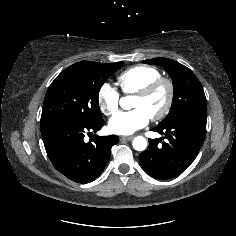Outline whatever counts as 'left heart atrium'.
<instances>
[{
	"label": "left heart atrium",
	"instance_id": "1",
	"mask_svg": "<svg viewBox=\"0 0 236 236\" xmlns=\"http://www.w3.org/2000/svg\"><path fill=\"white\" fill-rule=\"evenodd\" d=\"M150 116L141 108L119 112L109 121V129L119 135H129L145 127Z\"/></svg>",
	"mask_w": 236,
	"mask_h": 236
}]
</instances>
